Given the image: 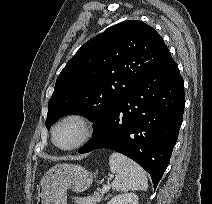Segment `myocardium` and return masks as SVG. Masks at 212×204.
I'll return each instance as SVG.
<instances>
[{
	"label": "myocardium",
	"instance_id": "obj_1",
	"mask_svg": "<svg viewBox=\"0 0 212 204\" xmlns=\"http://www.w3.org/2000/svg\"><path fill=\"white\" fill-rule=\"evenodd\" d=\"M68 122H75L80 126L81 129V135L79 137V139L71 146L68 147H63L60 146L57 142H56V131L57 129ZM93 134V127L92 124L90 122V120L80 114V113H69L64 115L63 117H61L52 127V131H51V136H52V142L53 144L60 150L63 151H72L75 149L80 148L81 146H83L85 143L88 142V140L91 138Z\"/></svg>",
	"mask_w": 212,
	"mask_h": 204
}]
</instances>
